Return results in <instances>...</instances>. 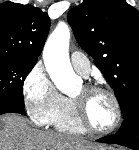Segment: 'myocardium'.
I'll return each instance as SVG.
<instances>
[{"instance_id": "myocardium-1", "label": "myocardium", "mask_w": 139, "mask_h": 150, "mask_svg": "<svg viewBox=\"0 0 139 150\" xmlns=\"http://www.w3.org/2000/svg\"><path fill=\"white\" fill-rule=\"evenodd\" d=\"M84 89H85L86 93H88V94L98 93V92L107 94L111 98V100L114 104L115 120H114L113 124L107 129L95 128L90 123V121L87 117L85 100L83 98L73 97L72 100L74 103L75 114H76L78 123L81 125V127L85 131L92 133V134L108 135V134L113 133L119 127L121 120H122V107H121L119 98L117 97V95L115 94L114 91H112L111 89L104 87L102 85L86 84V85H84Z\"/></svg>"}]
</instances>
